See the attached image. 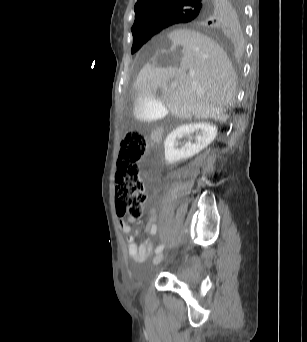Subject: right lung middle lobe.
Instances as JSON below:
<instances>
[{"mask_svg":"<svg viewBox=\"0 0 307 342\" xmlns=\"http://www.w3.org/2000/svg\"><path fill=\"white\" fill-rule=\"evenodd\" d=\"M194 15L195 11L193 10L181 11L172 15L169 21L172 23L183 22L192 18ZM159 31L160 30H152L133 35V46L131 53L133 54L137 52L152 36L157 34Z\"/></svg>","mask_w":307,"mask_h":342,"instance_id":"1","label":"right lung middle lobe"}]
</instances>
